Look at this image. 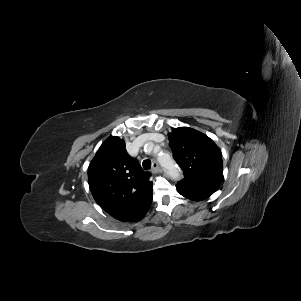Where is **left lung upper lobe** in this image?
<instances>
[{"label": "left lung upper lobe", "mask_w": 301, "mask_h": 301, "mask_svg": "<svg viewBox=\"0 0 301 301\" xmlns=\"http://www.w3.org/2000/svg\"><path fill=\"white\" fill-rule=\"evenodd\" d=\"M173 157L184 173L177 188L212 194L222 178V154L205 134L188 128H175L169 135Z\"/></svg>", "instance_id": "left-lung-upper-lobe-1"}]
</instances>
